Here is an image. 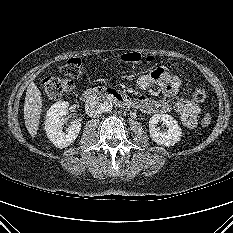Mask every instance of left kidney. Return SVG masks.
<instances>
[{"instance_id":"obj_1","label":"left kidney","mask_w":233,"mask_h":233,"mask_svg":"<svg viewBox=\"0 0 233 233\" xmlns=\"http://www.w3.org/2000/svg\"><path fill=\"white\" fill-rule=\"evenodd\" d=\"M163 122L168 128L167 132H160L157 128V124ZM182 129L178 122L168 114H155L149 120V132L152 140L160 145L166 147L176 144L181 136Z\"/></svg>"}]
</instances>
